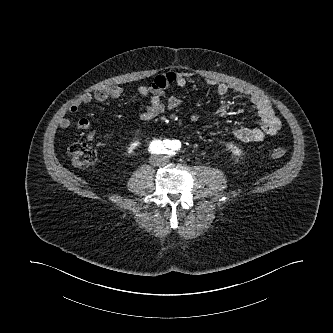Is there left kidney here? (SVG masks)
Returning a JSON list of instances; mask_svg holds the SVG:
<instances>
[{
	"label": "left kidney",
	"mask_w": 333,
	"mask_h": 333,
	"mask_svg": "<svg viewBox=\"0 0 333 333\" xmlns=\"http://www.w3.org/2000/svg\"><path fill=\"white\" fill-rule=\"evenodd\" d=\"M228 147L235 155H240L241 151L238 147L233 146L232 144L228 145Z\"/></svg>",
	"instance_id": "1"
}]
</instances>
